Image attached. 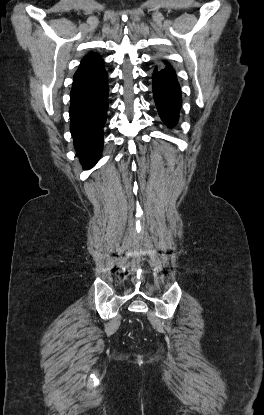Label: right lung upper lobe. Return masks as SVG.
I'll list each match as a JSON object with an SVG mask.
<instances>
[{"mask_svg": "<svg viewBox=\"0 0 264 415\" xmlns=\"http://www.w3.org/2000/svg\"><path fill=\"white\" fill-rule=\"evenodd\" d=\"M104 71L103 59L96 53L87 54L74 74V79L84 78L99 74Z\"/></svg>", "mask_w": 264, "mask_h": 415, "instance_id": "1", "label": "right lung upper lobe"}]
</instances>
